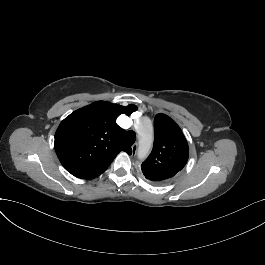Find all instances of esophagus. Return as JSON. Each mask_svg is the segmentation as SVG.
I'll return each instance as SVG.
<instances>
[{
    "instance_id": "1",
    "label": "esophagus",
    "mask_w": 265,
    "mask_h": 265,
    "mask_svg": "<svg viewBox=\"0 0 265 265\" xmlns=\"http://www.w3.org/2000/svg\"><path fill=\"white\" fill-rule=\"evenodd\" d=\"M137 150H138V144L135 143V144L132 145V154L136 155Z\"/></svg>"
}]
</instances>
